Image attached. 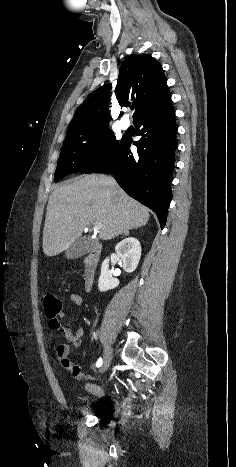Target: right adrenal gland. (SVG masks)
I'll use <instances>...</instances> for the list:
<instances>
[{
    "mask_svg": "<svg viewBox=\"0 0 236 467\" xmlns=\"http://www.w3.org/2000/svg\"><path fill=\"white\" fill-rule=\"evenodd\" d=\"M122 234L125 235V236H127V235H129V231H125V232H123Z\"/></svg>",
    "mask_w": 236,
    "mask_h": 467,
    "instance_id": "right-adrenal-gland-1",
    "label": "right adrenal gland"
}]
</instances>
